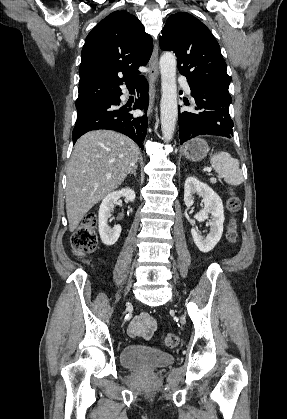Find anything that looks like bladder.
Masks as SVG:
<instances>
[{
    "label": "bladder",
    "instance_id": "31cf9c89",
    "mask_svg": "<svg viewBox=\"0 0 287 419\" xmlns=\"http://www.w3.org/2000/svg\"><path fill=\"white\" fill-rule=\"evenodd\" d=\"M174 357L158 349L131 345L122 350L121 362L124 366L135 370H150L172 364Z\"/></svg>",
    "mask_w": 287,
    "mask_h": 419
}]
</instances>
